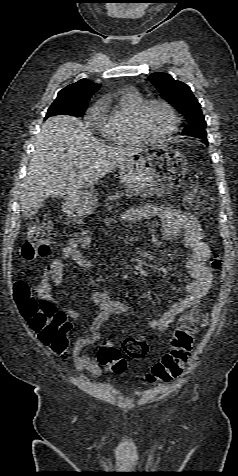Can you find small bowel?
Wrapping results in <instances>:
<instances>
[{
    "instance_id": "small-bowel-1",
    "label": "small bowel",
    "mask_w": 238,
    "mask_h": 476,
    "mask_svg": "<svg viewBox=\"0 0 238 476\" xmlns=\"http://www.w3.org/2000/svg\"><path fill=\"white\" fill-rule=\"evenodd\" d=\"M151 218L161 220L160 231L166 239H176L182 234L184 244L191 252L186 260V266L191 277V281L186 285L187 296L171 305L161 316L149 322L151 329L164 332L179 314L199 305L202 298L212 287L213 274L207 265L210 248L204 240L202 228L194 215L161 205H143L130 208L121 216V220L130 225L139 220ZM113 222V219L106 218L101 220L99 224L108 226ZM92 232L93 228H89L80 235L72 236L68 245L62 250V258L72 260L82 269L91 270L94 265L83 255L82 250L89 247ZM62 258L53 260L45 267L41 281L36 288V293L40 300L54 304L57 310L65 316L77 319L81 316L80 311L61 307L52 295L53 287H59L63 282L64 264ZM91 301L99 308V312L90 323L86 334L73 343L70 351L67 350L66 353L61 355L63 358H67L69 355L79 371L99 375L102 371V365L97 357L85 354L83 351L88 346L101 340V327L112 315L128 314L132 308L113 299L107 289L92 294Z\"/></svg>"
}]
</instances>
